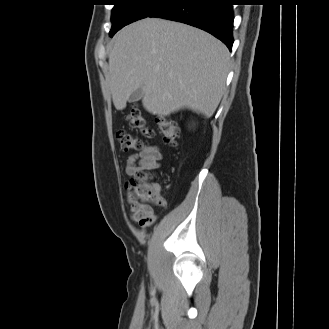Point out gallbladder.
Returning a JSON list of instances; mask_svg holds the SVG:
<instances>
[{"mask_svg":"<svg viewBox=\"0 0 329 329\" xmlns=\"http://www.w3.org/2000/svg\"><path fill=\"white\" fill-rule=\"evenodd\" d=\"M143 97V89L139 87L135 91H133L129 97V102H137Z\"/></svg>","mask_w":329,"mask_h":329,"instance_id":"1","label":"gallbladder"}]
</instances>
